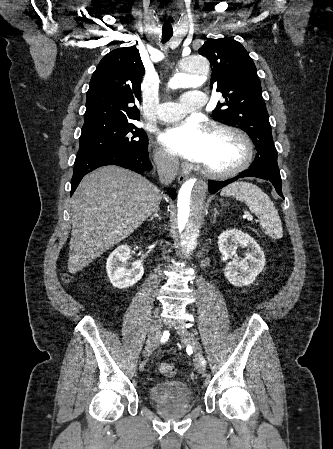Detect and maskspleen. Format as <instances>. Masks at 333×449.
<instances>
[{
	"label": "spleen",
	"instance_id": "spleen-1",
	"mask_svg": "<svg viewBox=\"0 0 333 449\" xmlns=\"http://www.w3.org/2000/svg\"><path fill=\"white\" fill-rule=\"evenodd\" d=\"M220 194L244 201L251 212L259 218L265 234L277 239L283 236L278 211L269 196L258 186L248 182H235L223 188Z\"/></svg>",
	"mask_w": 333,
	"mask_h": 449
}]
</instances>
